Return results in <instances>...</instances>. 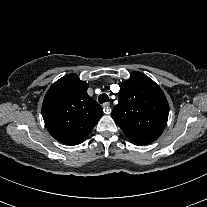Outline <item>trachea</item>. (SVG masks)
<instances>
[{
    "instance_id": "3493384b",
    "label": "trachea",
    "mask_w": 207,
    "mask_h": 207,
    "mask_svg": "<svg viewBox=\"0 0 207 207\" xmlns=\"http://www.w3.org/2000/svg\"><path fill=\"white\" fill-rule=\"evenodd\" d=\"M98 101H99L100 104H102L104 102H108L109 101V97L105 93L100 94L99 97H98Z\"/></svg>"
}]
</instances>
